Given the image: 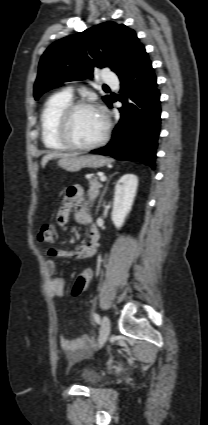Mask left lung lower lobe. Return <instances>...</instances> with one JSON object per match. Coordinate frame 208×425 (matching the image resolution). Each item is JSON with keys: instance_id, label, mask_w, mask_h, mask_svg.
Listing matches in <instances>:
<instances>
[{"instance_id": "obj_1", "label": "left lung lower lobe", "mask_w": 208, "mask_h": 425, "mask_svg": "<svg viewBox=\"0 0 208 425\" xmlns=\"http://www.w3.org/2000/svg\"><path fill=\"white\" fill-rule=\"evenodd\" d=\"M120 82L123 103L119 108L120 120L108 145L92 153L143 162L154 169L160 131V93L146 52ZM108 106L112 107V102Z\"/></svg>"}]
</instances>
